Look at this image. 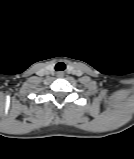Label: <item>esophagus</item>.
Returning <instances> with one entry per match:
<instances>
[{
    "instance_id": "1",
    "label": "esophagus",
    "mask_w": 134,
    "mask_h": 159,
    "mask_svg": "<svg viewBox=\"0 0 134 159\" xmlns=\"http://www.w3.org/2000/svg\"><path fill=\"white\" fill-rule=\"evenodd\" d=\"M63 76H64L63 72L60 71V72L57 73V77H63Z\"/></svg>"
}]
</instances>
